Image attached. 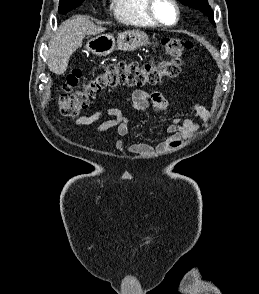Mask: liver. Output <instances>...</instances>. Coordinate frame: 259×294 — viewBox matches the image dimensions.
Masks as SVG:
<instances>
[{
  "mask_svg": "<svg viewBox=\"0 0 259 294\" xmlns=\"http://www.w3.org/2000/svg\"><path fill=\"white\" fill-rule=\"evenodd\" d=\"M105 30L84 15L64 21L49 42V70L56 75H62L67 69L71 55L82 46L85 36L96 35Z\"/></svg>",
  "mask_w": 259,
  "mask_h": 294,
  "instance_id": "liver-1",
  "label": "liver"
}]
</instances>
